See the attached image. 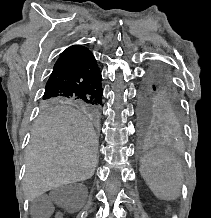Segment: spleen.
I'll list each match as a JSON object with an SVG mask.
<instances>
[{
  "instance_id": "spleen-1",
  "label": "spleen",
  "mask_w": 211,
  "mask_h": 218,
  "mask_svg": "<svg viewBox=\"0 0 211 218\" xmlns=\"http://www.w3.org/2000/svg\"><path fill=\"white\" fill-rule=\"evenodd\" d=\"M140 174L159 200H176L181 194V170L165 150L147 152L140 160Z\"/></svg>"
}]
</instances>
